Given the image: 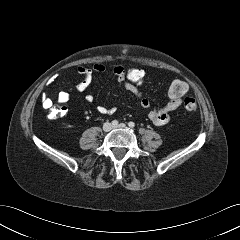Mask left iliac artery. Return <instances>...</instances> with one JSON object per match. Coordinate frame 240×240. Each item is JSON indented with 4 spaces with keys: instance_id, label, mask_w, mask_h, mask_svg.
<instances>
[{
    "instance_id": "44dca946",
    "label": "left iliac artery",
    "mask_w": 240,
    "mask_h": 240,
    "mask_svg": "<svg viewBox=\"0 0 240 240\" xmlns=\"http://www.w3.org/2000/svg\"><path fill=\"white\" fill-rule=\"evenodd\" d=\"M128 126L133 128L135 126V123L131 121V122L128 123Z\"/></svg>"
}]
</instances>
